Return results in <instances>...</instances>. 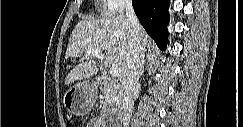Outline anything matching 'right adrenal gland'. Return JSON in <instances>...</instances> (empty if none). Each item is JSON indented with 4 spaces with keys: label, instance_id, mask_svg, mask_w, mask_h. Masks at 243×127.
<instances>
[{
    "label": "right adrenal gland",
    "instance_id": "obj_1",
    "mask_svg": "<svg viewBox=\"0 0 243 127\" xmlns=\"http://www.w3.org/2000/svg\"><path fill=\"white\" fill-rule=\"evenodd\" d=\"M143 73H144V70L142 69L141 76L143 75Z\"/></svg>",
    "mask_w": 243,
    "mask_h": 127
}]
</instances>
